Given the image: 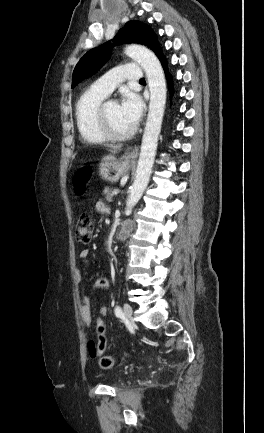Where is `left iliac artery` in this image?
I'll use <instances>...</instances> for the list:
<instances>
[{"label":"left iliac artery","mask_w":264,"mask_h":433,"mask_svg":"<svg viewBox=\"0 0 264 433\" xmlns=\"http://www.w3.org/2000/svg\"><path fill=\"white\" fill-rule=\"evenodd\" d=\"M114 312H115V315H116L117 317H122V316H123L122 309H121V307H119V306H116V307H115Z\"/></svg>","instance_id":"44dca946"}]
</instances>
